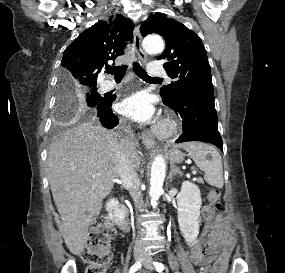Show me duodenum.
Segmentation results:
<instances>
[{
  "instance_id": "410a0bca",
  "label": "duodenum",
  "mask_w": 285,
  "mask_h": 273,
  "mask_svg": "<svg viewBox=\"0 0 285 273\" xmlns=\"http://www.w3.org/2000/svg\"><path fill=\"white\" fill-rule=\"evenodd\" d=\"M118 226L125 232L128 231V228H129V225H128V222L127 220L125 219H120L119 222H118Z\"/></svg>"
}]
</instances>
